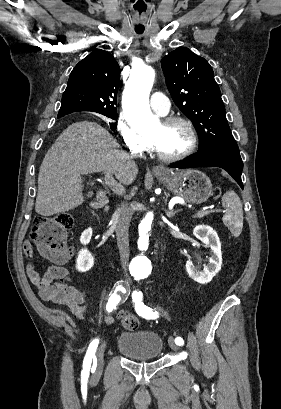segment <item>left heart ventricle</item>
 <instances>
[{"instance_id":"obj_1","label":"left heart ventricle","mask_w":281,"mask_h":409,"mask_svg":"<svg viewBox=\"0 0 281 409\" xmlns=\"http://www.w3.org/2000/svg\"><path fill=\"white\" fill-rule=\"evenodd\" d=\"M157 149L166 155H175L186 149L189 143V134L180 123L163 126L160 122L146 135Z\"/></svg>"}]
</instances>
